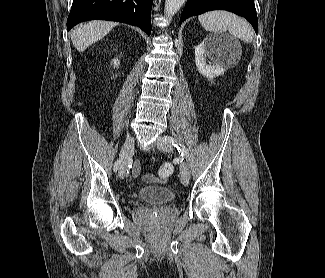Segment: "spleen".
Masks as SVG:
<instances>
[{
    "label": "spleen",
    "mask_w": 325,
    "mask_h": 278,
    "mask_svg": "<svg viewBox=\"0 0 325 278\" xmlns=\"http://www.w3.org/2000/svg\"><path fill=\"white\" fill-rule=\"evenodd\" d=\"M202 27L213 33L229 31L231 35L245 43L253 40V31L249 23L227 11H210L198 17Z\"/></svg>",
    "instance_id": "1"
}]
</instances>
